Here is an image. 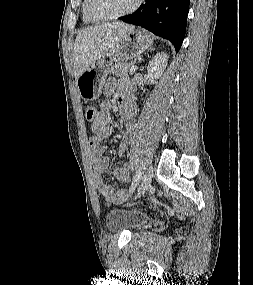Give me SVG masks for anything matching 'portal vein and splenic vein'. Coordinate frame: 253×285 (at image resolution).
I'll return each mask as SVG.
<instances>
[{
  "instance_id": "1",
  "label": "portal vein and splenic vein",
  "mask_w": 253,
  "mask_h": 285,
  "mask_svg": "<svg viewBox=\"0 0 253 285\" xmlns=\"http://www.w3.org/2000/svg\"><path fill=\"white\" fill-rule=\"evenodd\" d=\"M137 69H138V67L136 65H133L131 67L130 74H133Z\"/></svg>"
}]
</instances>
